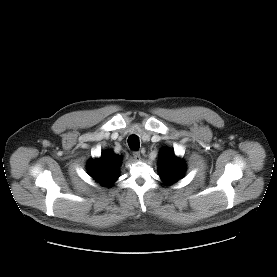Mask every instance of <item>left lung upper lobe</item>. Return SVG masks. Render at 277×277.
I'll list each match as a JSON object with an SVG mask.
<instances>
[{
    "label": "left lung upper lobe",
    "instance_id": "obj_1",
    "mask_svg": "<svg viewBox=\"0 0 277 277\" xmlns=\"http://www.w3.org/2000/svg\"><path fill=\"white\" fill-rule=\"evenodd\" d=\"M185 165L183 161L176 157L171 149H164L160 152L159 174L163 182L167 185L176 182L184 175Z\"/></svg>",
    "mask_w": 277,
    "mask_h": 277
}]
</instances>
